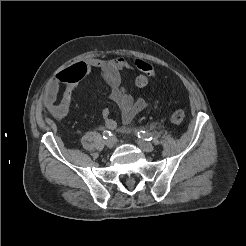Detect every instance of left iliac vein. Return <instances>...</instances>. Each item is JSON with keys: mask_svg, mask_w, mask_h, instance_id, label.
<instances>
[{"mask_svg": "<svg viewBox=\"0 0 246 246\" xmlns=\"http://www.w3.org/2000/svg\"><path fill=\"white\" fill-rule=\"evenodd\" d=\"M137 144L145 152H152L154 150V145L150 142H145L143 140H137Z\"/></svg>", "mask_w": 246, "mask_h": 246, "instance_id": "obj_1", "label": "left iliac vein"}]
</instances>
